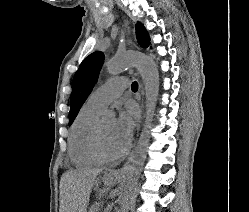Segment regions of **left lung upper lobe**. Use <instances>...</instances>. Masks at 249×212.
I'll return each instance as SVG.
<instances>
[{
  "instance_id": "1",
  "label": "left lung upper lobe",
  "mask_w": 249,
  "mask_h": 212,
  "mask_svg": "<svg viewBox=\"0 0 249 212\" xmlns=\"http://www.w3.org/2000/svg\"><path fill=\"white\" fill-rule=\"evenodd\" d=\"M136 34L138 42L142 47L149 46V35L142 24L136 25ZM104 63V54L96 51L87 56L77 70L70 98L69 125H71L77 116L81 106L91 93L97 82L99 72Z\"/></svg>"
}]
</instances>
